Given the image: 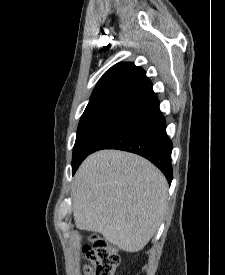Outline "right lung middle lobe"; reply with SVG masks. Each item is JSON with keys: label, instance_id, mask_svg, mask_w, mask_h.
<instances>
[{"label": "right lung middle lobe", "instance_id": "obj_1", "mask_svg": "<svg viewBox=\"0 0 225 275\" xmlns=\"http://www.w3.org/2000/svg\"><path fill=\"white\" fill-rule=\"evenodd\" d=\"M126 115L100 114L81 119L73 149L72 173L74 174L80 163L88 156L97 143Z\"/></svg>", "mask_w": 225, "mask_h": 275}]
</instances>
